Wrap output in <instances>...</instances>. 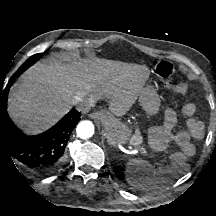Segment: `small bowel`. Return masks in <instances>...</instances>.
<instances>
[{"label": "small bowel", "mask_w": 216, "mask_h": 216, "mask_svg": "<svg viewBox=\"0 0 216 216\" xmlns=\"http://www.w3.org/2000/svg\"><path fill=\"white\" fill-rule=\"evenodd\" d=\"M180 112L187 118L186 128L175 131L177 124L176 113L171 109L166 110L164 122L160 129V143L163 145L175 143L185 155L192 156L195 153V146L192 140L203 138L204 126L200 120L194 117L196 112L194 104H184L180 108Z\"/></svg>", "instance_id": "small-bowel-1"}]
</instances>
